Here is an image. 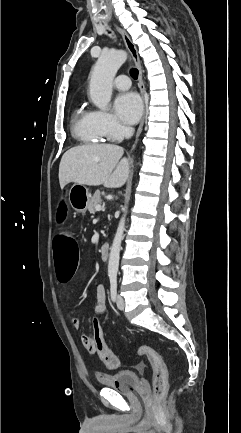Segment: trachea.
Instances as JSON below:
<instances>
[{
    "label": "trachea",
    "mask_w": 241,
    "mask_h": 433,
    "mask_svg": "<svg viewBox=\"0 0 241 433\" xmlns=\"http://www.w3.org/2000/svg\"><path fill=\"white\" fill-rule=\"evenodd\" d=\"M138 74H139V72H138V69H136V68H132L131 70H130V75H131V77L133 78V79H137L138 78Z\"/></svg>",
    "instance_id": "trachea-1"
}]
</instances>
